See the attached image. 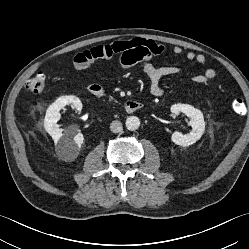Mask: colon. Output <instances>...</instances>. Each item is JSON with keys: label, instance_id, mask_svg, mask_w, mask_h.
<instances>
[{"label": "colon", "instance_id": "5ec220e1", "mask_svg": "<svg viewBox=\"0 0 249 249\" xmlns=\"http://www.w3.org/2000/svg\"><path fill=\"white\" fill-rule=\"evenodd\" d=\"M27 89L35 94H40L45 91L46 88V76L43 73H37L31 77L26 84ZM232 110L235 114L241 115L245 111L244 101L240 98L233 99L231 103Z\"/></svg>", "mask_w": 249, "mask_h": 249}]
</instances>
